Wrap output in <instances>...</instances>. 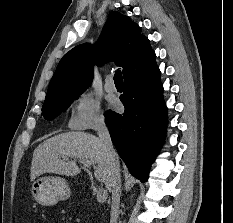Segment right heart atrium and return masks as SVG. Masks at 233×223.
<instances>
[{
	"instance_id": "d8ad5b80",
	"label": "right heart atrium",
	"mask_w": 233,
	"mask_h": 223,
	"mask_svg": "<svg viewBox=\"0 0 233 223\" xmlns=\"http://www.w3.org/2000/svg\"><path fill=\"white\" fill-rule=\"evenodd\" d=\"M105 125L100 100L90 91L78 96L76 105L68 120V127L74 130L100 129Z\"/></svg>"
}]
</instances>
